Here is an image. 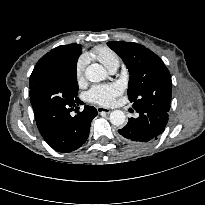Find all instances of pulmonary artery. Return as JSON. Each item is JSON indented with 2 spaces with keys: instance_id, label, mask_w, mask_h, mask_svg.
<instances>
[{
  "instance_id": "obj_1",
  "label": "pulmonary artery",
  "mask_w": 205,
  "mask_h": 205,
  "mask_svg": "<svg viewBox=\"0 0 205 205\" xmlns=\"http://www.w3.org/2000/svg\"><path fill=\"white\" fill-rule=\"evenodd\" d=\"M118 67L119 66L112 67L111 69H109V72L112 73V74L115 73L117 71Z\"/></svg>"
}]
</instances>
